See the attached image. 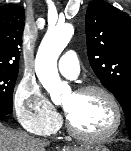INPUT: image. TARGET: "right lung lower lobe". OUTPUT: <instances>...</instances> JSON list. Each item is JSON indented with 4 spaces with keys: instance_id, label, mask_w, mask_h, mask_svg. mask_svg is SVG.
Masks as SVG:
<instances>
[{
    "instance_id": "right-lung-lower-lobe-1",
    "label": "right lung lower lobe",
    "mask_w": 131,
    "mask_h": 151,
    "mask_svg": "<svg viewBox=\"0 0 131 151\" xmlns=\"http://www.w3.org/2000/svg\"><path fill=\"white\" fill-rule=\"evenodd\" d=\"M7 115H8V113L0 112V118L5 117V116H7Z\"/></svg>"
}]
</instances>
